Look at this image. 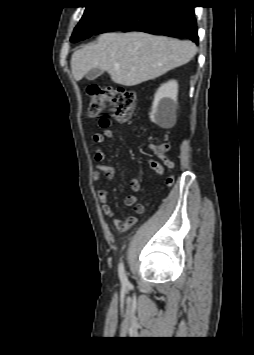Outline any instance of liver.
I'll use <instances>...</instances> for the list:
<instances>
[{
  "label": "liver",
  "instance_id": "liver-1",
  "mask_svg": "<svg viewBox=\"0 0 254 355\" xmlns=\"http://www.w3.org/2000/svg\"><path fill=\"white\" fill-rule=\"evenodd\" d=\"M196 45L142 32L105 33L95 44L85 45L71 57L74 79L80 81L91 69L99 68L113 82L134 86L185 65L196 54Z\"/></svg>",
  "mask_w": 254,
  "mask_h": 355
}]
</instances>
